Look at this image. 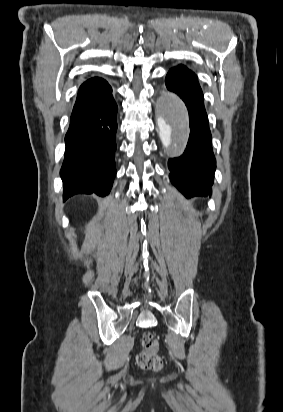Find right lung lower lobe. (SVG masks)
<instances>
[{"label": "right lung lower lobe", "mask_w": 283, "mask_h": 412, "mask_svg": "<svg viewBox=\"0 0 283 412\" xmlns=\"http://www.w3.org/2000/svg\"><path fill=\"white\" fill-rule=\"evenodd\" d=\"M111 92L110 85L98 77L79 88L60 171L64 200L75 194L105 196L112 187L118 107Z\"/></svg>", "instance_id": "obj_1"}]
</instances>
